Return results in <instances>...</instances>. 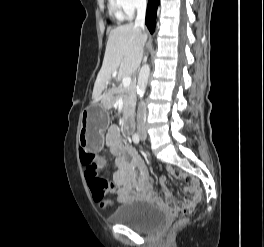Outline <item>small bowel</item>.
I'll return each mask as SVG.
<instances>
[{"label":"small bowel","instance_id":"obj_1","mask_svg":"<svg viewBox=\"0 0 264 247\" xmlns=\"http://www.w3.org/2000/svg\"><path fill=\"white\" fill-rule=\"evenodd\" d=\"M106 147L109 154L115 158L112 168L114 183L118 187L117 199L126 203L134 197L147 196L158 201V197L153 192L146 164L138 157L136 151L123 141L120 130L115 125L110 126L107 130ZM101 164L104 162L102 161ZM168 171L179 178H185L183 174L172 169H168ZM189 181L191 186L185 189L186 192L190 195L198 194L200 196L201 190L197 180L192 178ZM163 193L167 199H171V192L167 186H163Z\"/></svg>","mask_w":264,"mask_h":247}]
</instances>
